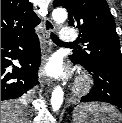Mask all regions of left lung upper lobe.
Masks as SVG:
<instances>
[{
  "label": "left lung upper lobe",
  "mask_w": 122,
  "mask_h": 123,
  "mask_svg": "<svg viewBox=\"0 0 122 123\" xmlns=\"http://www.w3.org/2000/svg\"><path fill=\"white\" fill-rule=\"evenodd\" d=\"M69 14V25L80 30L85 49L75 50L71 59L82 66L113 63L122 65L115 21L105 0H54Z\"/></svg>",
  "instance_id": "5c2ea615"
}]
</instances>
